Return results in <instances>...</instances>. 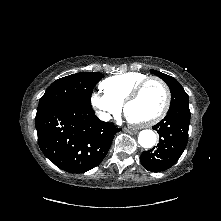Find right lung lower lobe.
Segmentation results:
<instances>
[{"instance_id": "right-lung-lower-lobe-1", "label": "right lung lower lobe", "mask_w": 221, "mask_h": 221, "mask_svg": "<svg viewBox=\"0 0 221 221\" xmlns=\"http://www.w3.org/2000/svg\"><path fill=\"white\" fill-rule=\"evenodd\" d=\"M35 122L43 154L70 173H83L98 166L113 135L121 130L101 121L92 107L76 103L53 106L36 114Z\"/></svg>"}]
</instances>
